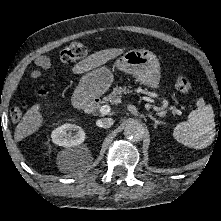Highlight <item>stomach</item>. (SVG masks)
Wrapping results in <instances>:
<instances>
[{"mask_svg": "<svg viewBox=\"0 0 221 221\" xmlns=\"http://www.w3.org/2000/svg\"><path fill=\"white\" fill-rule=\"evenodd\" d=\"M115 66L131 74L141 84L157 88L160 81V64L154 53L145 49H133L124 53ZM113 82L112 72L104 66L94 68L82 76L74 96L88 102L96 96L103 95Z\"/></svg>", "mask_w": 221, "mask_h": 221, "instance_id": "obj_1", "label": "stomach"}]
</instances>
